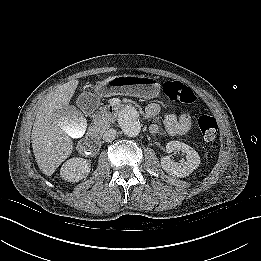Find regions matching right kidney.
<instances>
[{
  "instance_id": "right-kidney-1",
  "label": "right kidney",
  "mask_w": 261,
  "mask_h": 261,
  "mask_svg": "<svg viewBox=\"0 0 261 261\" xmlns=\"http://www.w3.org/2000/svg\"><path fill=\"white\" fill-rule=\"evenodd\" d=\"M84 132V129H81L80 135ZM91 164L89 161L83 158H71L63 163L60 175L64 180L70 182H78L79 180L87 177L90 173Z\"/></svg>"
}]
</instances>
